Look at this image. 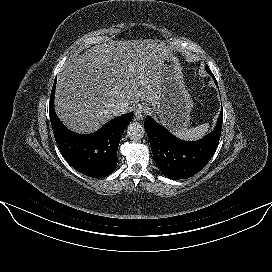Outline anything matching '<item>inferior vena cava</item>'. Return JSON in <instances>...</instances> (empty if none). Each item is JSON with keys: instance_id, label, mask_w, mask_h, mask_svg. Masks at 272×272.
<instances>
[{"instance_id": "obj_1", "label": "inferior vena cava", "mask_w": 272, "mask_h": 272, "mask_svg": "<svg viewBox=\"0 0 272 272\" xmlns=\"http://www.w3.org/2000/svg\"><path fill=\"white\" fill-rule=\"evenodd\" d=\"M114 110L117 115H120L128 112L129 106L126 103H120L118 105H115Z\"/></svg>"}]
</instances>
